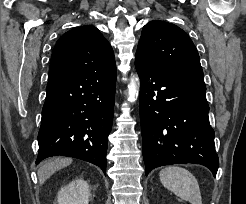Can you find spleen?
<instances>
[{
    "label": "spleen",
    "mask_w": 246,
    "mask_h": 204,
    "mask_svg": "<svg viewBox=\"0 0 246 204\" xmlns=\"http://www.w3.org/2000/svg\"><path fill=\"white\" fill-rule=\"evenodd\" d=\"M162 185L181 199L191 204H202V197L196 177L187 169L168 166L159 172Z\"/></svg>",
    "instance_id": "1"
}]
</instances>
